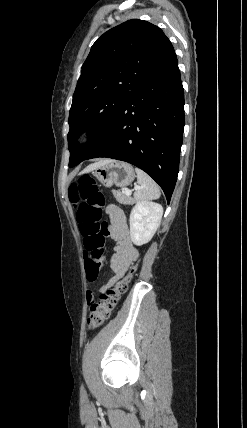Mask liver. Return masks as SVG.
<instances>
[{
	"mask_svg": "<svg viewBox=\"0 0 247 428\" xmlns=\"http://www.w3.org/2000/svg\"><path fill=\"white\" fill-rule=\"evenodd\" d=\"M112 161H113V160H111V159H102V160H100V161H98V162H95V163H93V164H91V165L87 166V167L83 170V173L91 172V171H93L94 169L98 168L99 166L104 165V164H107V163H110V162H112Z\"/></svg>",
	"mask_w": 247,
	"mask_h": 428,
	"instance_id": "liver-1",
	"label": "liver"
}]
</instances>
